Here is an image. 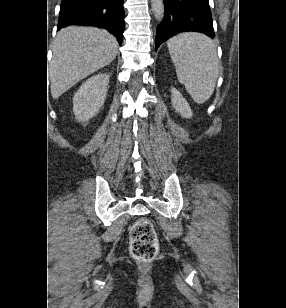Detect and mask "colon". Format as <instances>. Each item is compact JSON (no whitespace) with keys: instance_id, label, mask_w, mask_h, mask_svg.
Wrapping results in <instances>:
<instances>
[{"instance_id":"obj_1","label":"colon","mask_w":286,"mask_h":308,"mask_svg":"<svg viewBox=\"0 0 286 308\" xmlns=\"http://www.w3.org/2000/svg\"><path fill=\"white\" fill-rule=\"evenodd\" d=\"M159 250V240L151 221L145 218L137 220L130 230L131 255L143 262L153 260Z\"/></svg>"}]
</instances>
